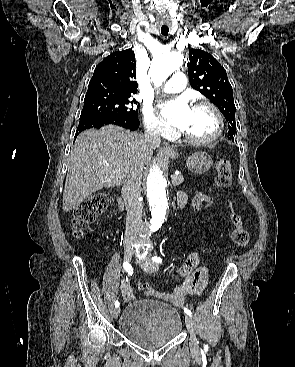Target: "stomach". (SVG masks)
I'll return each mask as SVG.
<instances>
[{"label":"stomach","instance_id":"1","mask_svg":"<svg viewBox=\"0 0 295 367\" xmlns=\"http://www.w3.org/2000/svg\"><path fill=\"white\" fill-rule=\"evenodd\" d=\"M172 158H177L179 156L176 152L169 153ZM189 171L195 174H203L207 172L213 165V160L211 156L203 151L194 152L188 157L186 162Z\"/></svg>","mask_w":295,"mask_h":367}]
</instances>
